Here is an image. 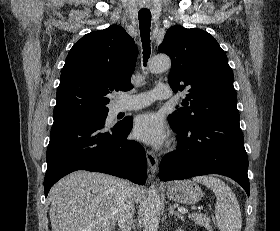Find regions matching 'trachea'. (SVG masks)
Segmentation results:
<instances>
[{
    "instance_id": "1",
    "label": "trachea",
    "mask_w": 280,
    "mask_h": 231,
    "mask_svg": "<svg viewBox=\"0 0 280 231\" xmlns=\"http://www.w3.org/2000/svg\"><path fill=\"white\" fill-rule=\"evenodd\" d=\"M139 27L141 40L143 44V61L144 66L150 56V25H151V13L150 10L142 9L138 14Z\"/></svg>"
}]
</instances>
